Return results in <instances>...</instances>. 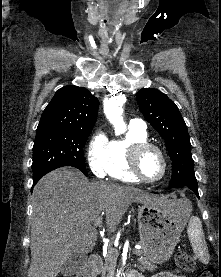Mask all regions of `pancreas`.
<instances>
[{
    "label": "pancreas",
    "mask_w": 221,
    "mask_h": 277,
    "mask_svg": "<svg viewBox=\"0 0 221 277\" xmlns=\"http://www.w3.org/2000/svg\"><path fill=\"white\" fill-rule=\"evenodd\" d=\"M134 254H136L137 256H140V258L138 259V262L140 265H138V267L141 270L146 269L149 271H153L157 269V266L154 263L150 262L146 257L143 256L144 253L142 250H136ZM118 255L119 253L117 249L113 247L108 248V253L105 258V263L101 269L102 277H112L111 274L115 270Z\"/></svg>",
    "instance_id": "obj_1"
}]
</instances>
